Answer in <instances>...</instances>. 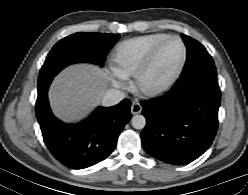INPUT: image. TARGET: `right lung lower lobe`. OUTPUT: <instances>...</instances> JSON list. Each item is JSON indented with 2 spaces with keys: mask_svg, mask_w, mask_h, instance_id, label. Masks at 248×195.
I'll return each mask as SVG.
<instances>
[{
  "mask_svg": "<svg viewBox=\"0 0 248 195\" xmlns=\"http://www.w3.org/2000/svg\"><path fill=\"white\" fill-rule=\"evenodd\" d=\"M53 78L38 84L36 116L44 142L63 165L83 169L97 164L114 150L117 138L130 120L128 99L112 107H99L78 124H65L54 117L47 91Z\"/></svg>",
  "mask_w": 248,
  "mask_h": 195,
  "instance_id": "obj_1",
  "label": "right lung lower lobe"
}]
</instances>
